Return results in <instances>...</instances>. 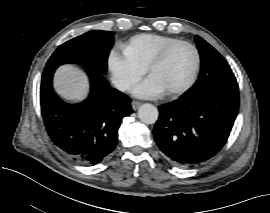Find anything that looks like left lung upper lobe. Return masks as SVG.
<instances>
[{"label": "left lung upper lobe", "mask_w": 270, "mask_h": 213, "mask_svg": "<svg viewBox=\"0 0 270 213\" xmlns=\"http://www.w3.org/2000/svg\"><path fill=\"white\" fill-rule=\"evenodd\" d=\"M201 58V71L197 82L185 93L184 96H193L202 90L234 78V74L227 61L210 44L199 36H195Z\"/></svg>", "instance_id": "left-lung-upper-lobe-1"}]
</instances>
